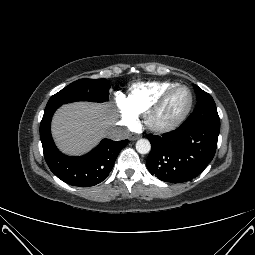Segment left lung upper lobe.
<instances>
[{"mask_svg": "<svg viewBox=\"0 0 255 255\" xmlns=\"http://www.w3.org/2000/svg\"><path fill=\"white\" fill-rule=\"evenodd\" d=\"M193 86L197 94V105L184 124L220 123L213 98L197 85Z\"/></svg>", "mask_w": 255, "mask_h": 255, "instance_id": "obj_1", "label": "left lung upper lobe"}]
</instances>
